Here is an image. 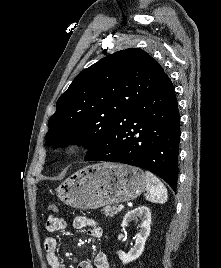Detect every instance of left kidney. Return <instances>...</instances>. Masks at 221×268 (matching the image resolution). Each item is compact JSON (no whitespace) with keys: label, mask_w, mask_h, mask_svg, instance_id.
<instances>
[{"label":"left kidney","mask_w":221,"mask_h":268,"mask_svg":"<svg viewBox=\"0 0 221 268\" xmlns=\"http://www.w3.org/2000/svg\"><path fill=\"white\" fill-rule=\"evenodd\" d=\"M137 218L141 220V225L140 230L136 235L134 247L131 248L128 253H125L122 250L117 251L119 259L123 262V264L132 262L140 257L144 251L145 242L150 234L151 212L146 206H140L129 211L124 216L121 226L127 227L130 221Z\"/></svg>","instance_id":"left-kidney-1"}]
</instances>
